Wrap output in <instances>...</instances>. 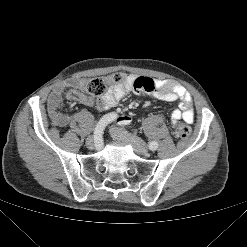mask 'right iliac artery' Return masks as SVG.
<instances>
[{"mask_svg": "<svg viewBox=\"0 0 247 247\" xmlns=\"http://www.w3.org/2000/svg\"><path fill=\"white\" fill-rule=\"evenodd\" d=\"M117 118V114L112 112L104 115L99 122L97 123L95 129H94V140L95 142V148L97 150H100L104 147L103 140L101 139L103 130L105 127L114 121Z\"/></svg>", "mask_w": 247, "mask_h": 247, "instance_id": "1", "label": "right iliac artery"}]
</instances>
